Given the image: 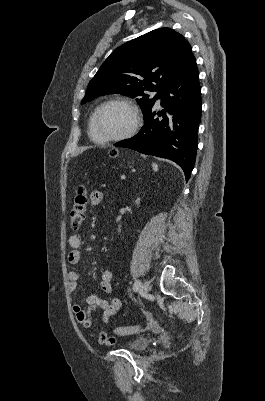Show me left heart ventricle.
I'll use <instances>...</instances> for the list:
<instances>
[{
	"mask_svg": "<svg viewBox=\"0 0 265 401\" xmlns=\"http://www.w3.org/2000/svg\"><path fill=\"white\" fill-rule=\"evenodd\" d=\"M132 123L131 110L121 104L106 107L94 124L97 139H107L122 134Z\"/></svg>",
	"mask_w": 265,
	"mask_h": 401,
	"instance_id": "b2bd125f",
	"label": "left heart ventricle"
}]
</instances>
